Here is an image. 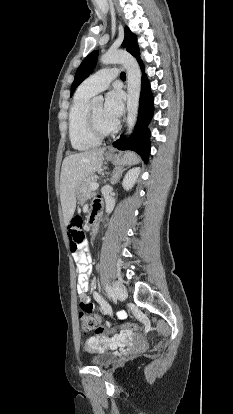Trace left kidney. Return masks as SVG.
Listing matches in <instances>:
<instances>
[{"mask_svg": "<svg viewBox=\"0 0 233 414\" xmlns=\"http://www.w3.org/2000/svg\"><path fill=\"white\" fill-rule=\"evenodd\" d=\"M140 171L141 170L139 167H135V168L130 169L126 173L125 177L123 178V182H122V186L126 191L130 190L134 186L140 174Z\"/></svg>", "mask_w": 233, "mask_h": 414, "instance_id": "left-kidney-1", "label": "left kidney"}]
</instances>
